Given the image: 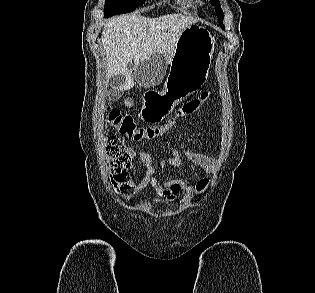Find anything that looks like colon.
<instances>
[{
    "mask_svg": "<svg viewBox=\"0 0 315 293\" xmlns=\"http://www.w3.org/2000/svg\"><path fill=\"white\" fill-rule=\"evenodd\" d=\"M209 96V92L204 91L198 97L188 100L161 126L139 127L131 115L122 114L117 109L108 110L107 118L109 123L123 136L135 141L151 140L167 133L181 118L195 113L208 100ZM105 150L113 180L115 182H122L126 177L127 169L131 162L123 141L117 136L107 137L105 140ZM207 186L208 181L201 180L197 183L196 190L198 193H202Z\"/></svg>",
    "mask_w": 315,
    "mask_h": 293,
    "instance_id": "1",
    "label": "colon"
}]
</instances>
